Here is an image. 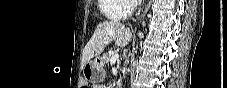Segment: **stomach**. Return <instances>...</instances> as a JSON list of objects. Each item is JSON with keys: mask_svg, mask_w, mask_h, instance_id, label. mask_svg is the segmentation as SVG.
Segmentation results:
<instances>
[{"mask_svg": "<svg viewBox=\"0 0 227 88\" xmlns=\"http://www.w3.org/2000/svg\"><path fill=\"white\" fill-rule=\"evenodd\" d=\"M104 63L101 57L87 62L83 68L85 79L92 83L100 82L105 76Z\"/></svg>", "mask_w": 227, "mask_h": 88, "instance_id": "stomach-1", "label": "stomach"}]
</instances>
